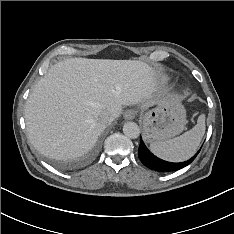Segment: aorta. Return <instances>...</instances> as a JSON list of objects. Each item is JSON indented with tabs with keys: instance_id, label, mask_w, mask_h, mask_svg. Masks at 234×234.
Masks as SVG:
<instances>
[{
	"instance_id": "762f6f07",
	"label": "aorta",
	"mask_w": 234,
	"mask_h": 234,
	"mask_svg": "<svg viewBox=\"0 0 234 234\" xmlns=\"http://www.w3.org/2000/svg\"><path fill=\"white\" fill-rule=\"evenodd\" d=\"M123 133L129 138L136 139L140 134V129L135 122H126L123 125Z\"/></svg>"
}]
</instances>
